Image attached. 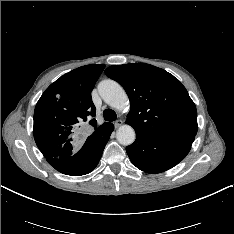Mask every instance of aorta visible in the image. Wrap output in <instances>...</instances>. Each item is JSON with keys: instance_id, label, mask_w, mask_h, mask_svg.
I'll use <instances>...</instances> for the list:
<instances>
[{"instance_id": "aorta-1", "label": "aorta", "mask_w": 234, "mask_h": 234, "mask_svg": "<svg viewBox=\"0 0 234 234\" xmlns=\"http://www.w3.org/2000/svg\"><path fill=\"white\" fill-rule=\"evenodd\" d=\"M98 91L104 102L119 111L129 106V98L125 90L116 81L104 80L100 82ZM116 138L121 145L128 146L135 141L136 134L130 125H122L116 132Z\"/></svg>"}]
</instances>
